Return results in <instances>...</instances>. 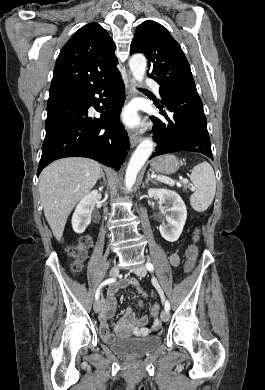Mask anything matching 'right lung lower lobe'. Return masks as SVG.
<instances>
[{"label":"right lung lower lobe","mask_w":265,"mask_h":390,"mask_svg":"<svg viewBox=\"0 0 265 390\" xmlns=\"http://www.w3.org/2000/svg\"><path fill=\"white\" fill-rule=\"evenodd\" d=\"M95 94L105 98L97 99ZM124 101L119 71L83 91L48 99L37 176L52 161L73 156L92 158L119 170L130 147L127 132L118 120ZM91 106L101 113L99 119L89 117Z\"/></svg>","instance_id":"98d812e1"}]
</instances>
